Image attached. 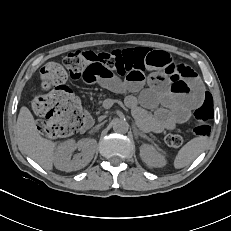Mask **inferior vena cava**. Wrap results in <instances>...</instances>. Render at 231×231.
<instances>
[{"label":"inferior vena cava","mask_w":231,"mask_h":231,"mask_svg":"<svg viewBox=\"0 0 231 231\" xmlns=\"http://www.w3.org/2000/svg\"><path fill=\"white\" fill-rule=\"evenodd\" d=\"M101 126V124H98L94 127V129H98Z\"/></svg>","instance_id":"1"}]
</instances>
